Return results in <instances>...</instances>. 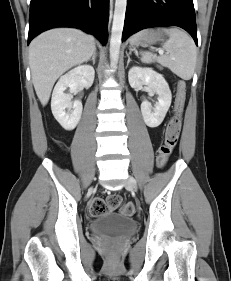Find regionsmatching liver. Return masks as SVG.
<instances>
[{"label":"liver","mask_w":231,"mask_h":281,"mask_svg":"<svg viewBox=\"0 0 231 281\" xmlns=\"http://www.w3.org/2000/svg\"><path fill=\"white\" fill-rule=\"evenodd\" d=\"M95 49L94 37L71 28L46 31L31 42L32 82L43 106L48 103L56 80L71 67L87 62Z\"/></svg>","instance_id":"6515ba94"}]
</instances>
